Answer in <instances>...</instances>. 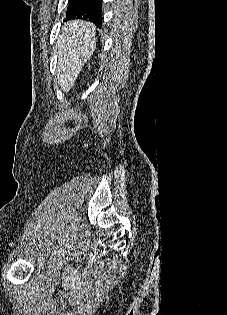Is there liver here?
Listing matches in <instances>:
<instances>
[{
  "label": "liver",
  "instance_id": "liver-1",
  "mask_svg": "<svg viewBox=\"0 0 227 315\" xmlns=\"http://www.w3.org/2000/svg\"><path fill=\"white\" fill-rule=\"evenodd\" d=\"M95 47V26L92 23L83 20L65 23L57 46V81L64 92L70 91Z\"/></svg>",
  "mask_w": 227,
  "mask_h": 315
}]
</instances>
